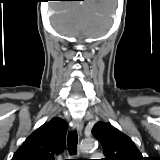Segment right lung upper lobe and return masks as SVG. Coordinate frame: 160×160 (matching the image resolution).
I'll list each match as a JSON object with an SVG mask.
<instances>
[{
	"label": "right lung upper lobe",
	"mask_w": 160,
	"mask_h": 160,
	"mask_svg": "<svg viewBox=\"0 0 160 160\" xmlns=\"http://www.w3.org/2000/svg\"><path fill=\"white\" fill-rule=\"evenodd\" d=\"M67 123L58 117L34 131L13 155L12 160H55L66 144Z\"/></svg>",
	"instance_id": "obj_1"
}]
</instances>
